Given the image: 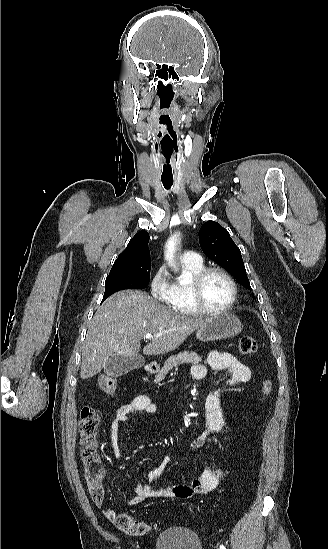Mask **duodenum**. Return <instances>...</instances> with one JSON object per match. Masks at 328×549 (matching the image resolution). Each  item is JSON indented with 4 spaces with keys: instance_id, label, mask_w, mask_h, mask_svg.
I'll return each mask as SVG.
<instances>
[{
    "instance_id": "410a0bca",
    "label": "duodenum",
    "mask_w": 328,
    "mask_h": 549,
    "mask_svg": "<svg viewBox=\"0 0 328 549\" xmlns=\"http://www.w3.org/2000/svg\"><path fill=\"white\" fill-rule=\"evenodd\" d=\"M146 371L148 373H155L156 372V366L153 364H149L146 366Z\"/></svg>"
}]
</instances>
